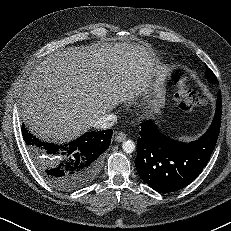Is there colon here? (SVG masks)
<instances>
[{"label": "colon", "instance_id": "obj_1", "mask_svg": "<svg viewBox=\"0 0 231 231\" xmlns=\"http://www.w3.org/2000/svg\"><path fill=\"white\" fill-rule=\"evenodd\" d=\"M174 79L177 85L175 98L184 112H192L205 105L204 97L190 89L191 79L187 75L176 73Z\"/></svg>", "mask_w": 231, "mask_h": 231}]
</instances>
